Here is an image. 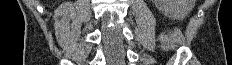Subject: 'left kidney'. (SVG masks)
<instances>
[{
  "instance_id": "1",
  "label": "left kidney",
  "mask_w": 232,
  "mask_h": 65,
  "mask_svg": "<svg viewBox=\"0 0 232 65\" xmlns=\"http://www.w3.org/2000/svg\"><path fill=\"white\" fill-rule=\"evenodd\" d=\"M156 7L171 19H183L192 11L195 0H153Z\"/></svg>"
}]
</instances>
